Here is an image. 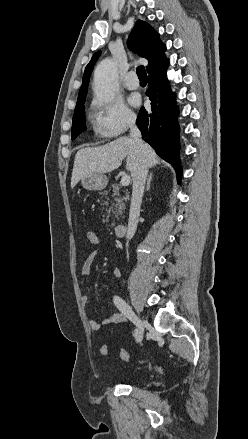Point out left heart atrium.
<instances>
[{
	"mask_svg": "<svg viewBox=\"0 0 248 439\" xmlns=\"http://www.w3.org/2000/svg\"><path fill=\"white\" fill-rule=\"evenodd\" d=\"M130 101L133 105H138L140 102L138 97H132Z\"/></svg>",
	"mask_w": 248,
	"mask_h": 439,
	"instance_id": "39dd6f15",
	"label": "left heart atrium"
}]
</instances>
